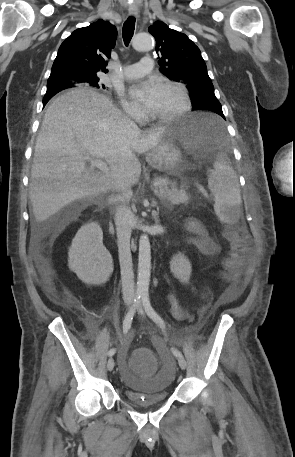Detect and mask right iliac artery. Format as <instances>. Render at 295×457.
Here are the masks:
<instances>
[{"mask_svg": "<svg viewBox=\"0 0 295 457\" xmlns=\"http://www.w3.org/2000/svg\"><path fill=\"white\" fill-rule=\"evenodd\" d=\"M140 298H141V295L140 294H137L134 298V302H133V305L132 307L130 308V310L128 311V313L126 314L125 318H124V321H123V332L126 334L128 332V330L130 329L131 327V323H132V320H133V316L135 314V310H136V307L137 305L139 304L140 302ZM116 352L115 349H110L108 351V355L109 356H112L114 355Z\"/></svg>", "mask_w": 295, "mask_h": 457, "instance_id": "82829eb1", "label": "right iliac artery"}]
</instances>
